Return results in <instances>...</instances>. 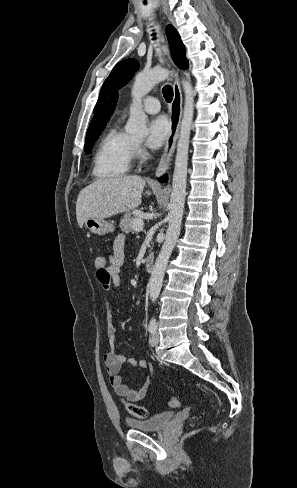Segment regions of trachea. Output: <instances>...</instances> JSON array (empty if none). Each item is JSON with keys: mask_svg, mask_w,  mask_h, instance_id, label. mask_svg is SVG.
Listing matches in <instances>:
<instances>
[{"mask_svg": "<svg viewBox=\"0 0 297 488\" xmlns=\"http://www.w3.org/2000/svg\"><path fill=\"white\" fill-rule=\"evenodd\" d=\"M155 35V33L153 34ZM155 39V38H154ZM163 96L167 102H171L173 99V89L170 85H165L162 89Z\"/></svg>", "mask_w": 297, "mask_h": 488, "instance_id": "obj_1", "label": "trachea"}]
</instances>
